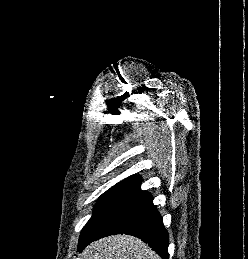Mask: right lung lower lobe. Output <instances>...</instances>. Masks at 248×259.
Segmentation results:
<instances>
[{
  "mask_svg": "<svg viewBox=\"0 0 248 259\" xmlns=\"http://www.w3.org/2000/svg\"><path fill=\"white\" fill-rule=\"evenodd\" d=\"M152 198L150 193L140 189V184L133 186L109 209L97 226L79 240L78 250L102 237L124 233L140 238L161 258L169 259L168 233Z\"/></svg>",
  "mask_w": 248,
  "mask_h": 259,
  "instance_id": "obj_1",
  "label": "right lung lower lobe"
}]
</instances>
